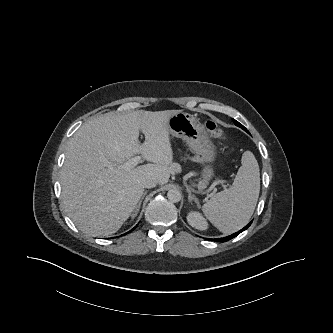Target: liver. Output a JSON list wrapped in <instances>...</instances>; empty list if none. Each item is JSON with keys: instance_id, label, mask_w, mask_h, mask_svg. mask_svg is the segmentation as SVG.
Instances as JSON below:
<instances>
[{"instance_id": "obj_1", "label": "liver", "mask_w": 333, "mask_h": 333, "mask_svg": "<svg viewBox=\"0 0 333 333\" xmlns=\"http://www.w3.org/2000/svg\"><path fill=\"white\" fill-rule=\"evenodd\" d=\"M179 111L110 112L78 129L67 147L61 196L79 230L93 236L117 232L136 208L147 179L160 185L169 181L174 163L168 121ZM137 154L151 163L126 169Z\"/></svg>"}]
</instances>
